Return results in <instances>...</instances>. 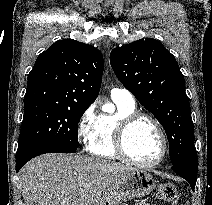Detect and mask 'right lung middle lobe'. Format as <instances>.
I'll list each match as a JSON object with an SVG mask.
<instances>
[{"label":"right lung middle lobe","mask_w":212,"mask_h":205,"mask_svg":"<svg viewBox=\"0 0 212 205\" xmlns=\"http://www.w3.org/2000/svg\"><path fill=\"white\" fill-rule=\"evenodd\" d=\"M88 106L49 102L24 103L23 123L17 153L41 145L54 144L77 149V125Z\"/></svg>","instance_id":"right-lung-middle-lobe-1"}]
</instances>
